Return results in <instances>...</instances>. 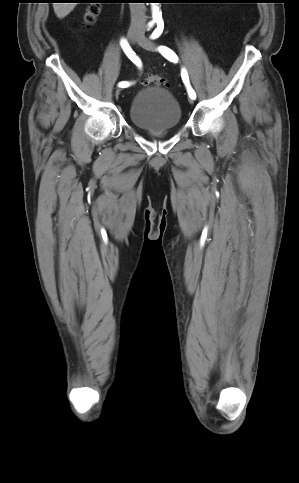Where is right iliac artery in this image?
<instances>
[{"label": "right iliac artery", "mask_w": 299, "mask_h": 483, "mask_svg": "<svg viewBox=\"0 0 299 483\" xmlns=\"http://www.w3.org/2000/svg\"><path fill=\"white\" fill-rule=\"evenodd\" d=\"M150 26H152V24ZM121 46H122V49L124 50L125 54L127 55V57L134 64H136L138 67H141V61H140V59L135 54V52L131 49V47L129 46V44L127 43L126 40L123 39L121 41ZM130 85H131V83L130 82H127V81H122V82H120L118 84V86L121 87V88H126V87H129Z\"/></svg>", "instance_id": "right-iliac-artery-1"}]
</instances>
